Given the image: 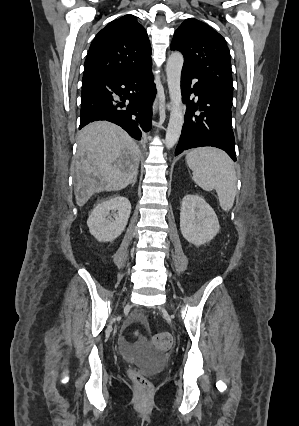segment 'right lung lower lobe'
Instances as JSON below:
<instances>
[{
	"instance_id": "98d812e1",
	"label": "right lung lower lobe",
	"mask_w": 299,
	"mask_h": 426,
	"mask_svg": "<svg viewBox=\"0 0 299 426\" xmlns=\"http://www.w3.org/2000/svg\"><path fill=\"white\" fill-rule=\"evenodd\" d=\"M155 94L152 65L103 80L83 81L79 129L90 122L106 120L142 140L151 129Z\"/></svg>"
}]
</instances>
